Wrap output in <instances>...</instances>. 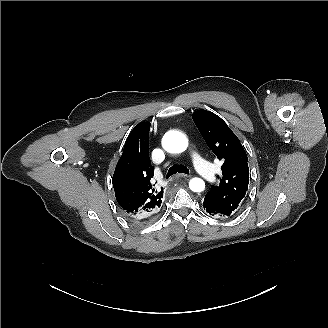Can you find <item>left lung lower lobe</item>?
<instances>
[{
	"instance_id": "1",
	"label": "left lung lower lobe",
	"mask_w": 328,
	"mask_h": 328,
	"mask_svg": "<svg viewBox=\"0 0 328 328\" xmlns=\"http://www.w3.org/2000/svg\"><path fill=\"white\" fill-rule=\"evenodd\" d=\"M203 207L206 210V212H208L212 216H214V215H220V216L224 215V214L220 213L219 211H217L214 207H212L206 200H204V202H203Z\"/></svg>"
}]
</instances>
